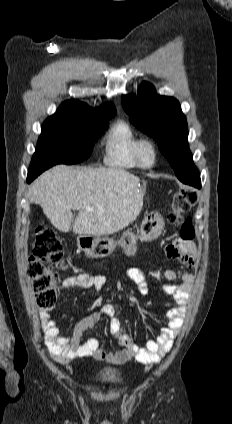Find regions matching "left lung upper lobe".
<instances>
[{"mask_svg":"<svg viewBox=\"0 0 232 424\" xmlns=\"http://www.w3.org/2000/svg\"><path fill=\"white\" fill-rule=\"evenodd\" d=\"M122 104L132 124L156 140L180 181L198 172L187 141V121L175 98L157 95L143 82L138 96H122Z\"/></svg>","mask_w":232,"mask_h":424,"instance_id":"5c2ea615","label":"left lung upper lobe"}]
</instances>
